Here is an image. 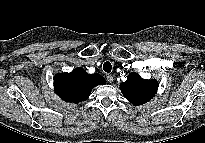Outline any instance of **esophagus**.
Instances as JSON below:
<instances>
[{
	"label": "esophagus",
	"mask_w": 205,
	"mask_h": 143,
	"mask_svg": "<svg viewBox=\"0 0 205 143\" xmlns=\"http://www.w3.org/2000/svg\"><path fill=\"white\" fill-rule=\"evenodd\" d=\"M106 79L109 83H112L114 81V78L112 75H107Z\"/></svg>",
	"instance_id": "obj_1"
}]
</instances>
